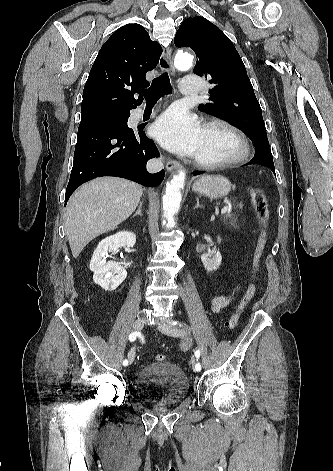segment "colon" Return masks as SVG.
I'll use <instances>...</instances> for the list:
<instances>
[{
	"label": "colon",
	"mask_w": 333,
	"mask_h": 471,
	"mask_svg": "<svg viewBox=\"0 0 333 471\" xmlns=\"http://www.w3.org/2000/svg\"><path fill=\"white\" fill-rule=\"evenodd\" d=\"M250 198H251V202H252V205L254 207V210H255L256 217H257V219H258V221H259V223L261 224V227H262V230L260 232L258 242H257V245H256V249H255V252H254V255H253L252 266H253V274H255L256 271L259 268L260 260H261V257H262V254H263V251H264V248H265V245H266V241H267V229H268V225H269L270 212H269V207H268L266 197H265V195H264V193L261 189L252 188L250 190ZM255 289H256V286L254 284V281L252 280L249 283V285L246 289V292H245L243 298L241 299V301H240V303L237 307V311L226 322V326L228 328L232 329V328L236 327V325L238 324V321H239L240 313L242 312V310L245 308V306L248 304V302L254 296ZM155 360L159 361V362H162V361L165 360V355L157 354L155 356Z\"/></svg>",
	"instance_id": "5ec220e1"
}]
</instances>
